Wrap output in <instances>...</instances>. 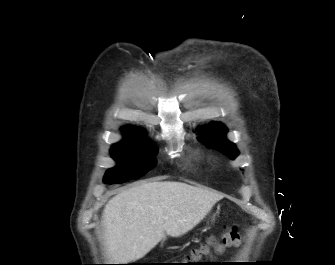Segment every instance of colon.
Wrapping results in <instances>:
<instances>
[{"instance_id": "colon-1", "label": "colon", "mask_w": 335, "mask_h": 265, "mask_svg": "<svg viewBox=\"0 0 335 265\" xmlns=\"http://www.w3.org/2000/svg\"><path fill=\"white\" fill-rule=\"evenodd\" d=\"M241 239L240 233L235 228L228 229L221 236L211 237L206 244L192 250L188 254L187 259L190 261H198L204 257L221 253L228 247L238 245Z\"/></svg>"}]
</instances>
